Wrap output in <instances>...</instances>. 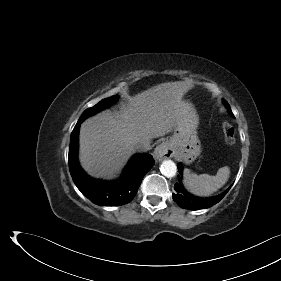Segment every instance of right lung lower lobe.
Wrapping results in <instances>:
<instances>
[{
	"instance_id": "98d812e1",
	"label": "right lung lower lobe",
	"mask_w": 281,
	"mask_h": 281,
	"mask_svg": "<svg viewBox=\"0 0 281 281\" xmlns=\"http://www.w3.org/2000/svg\"><path fill=\"white\" fill-rule=\"evenodd\" d=\"M78 121L72 131L69 147V170L72 179L88 199L101 206H120L129 203L137 193L145 174L154 165L151 155L137 154L128 163L122 177L114 182L96 180L89 177L80 167L77 159L79 127Z\"/></svg>"
}]
</instances>
